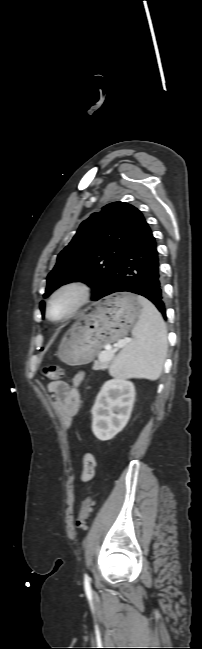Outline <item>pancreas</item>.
I'll return each mask as SVG.
<instances>
[{"instance_id":"1","label":"pancreas","mask_w":202,"mask_h":649,"mask_svg":"<svg viewBox=\"0 0 202 649\" xmlns=\"http://www.w3.org/2000/svg\"><path fill=\"white\" fill-rule=\"evenodd\" d=\"M101 353L102 352L99 353V356H100ZM106 353L114 355L113 350H106ZM109 366H110V361H100V360L95 362V365H94V367H96L99 370H105V369L109 368Z\"/></svg>"}]
</instances>
